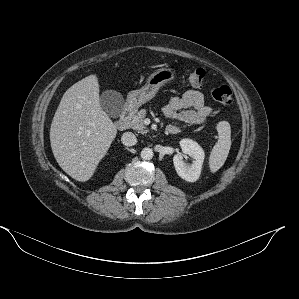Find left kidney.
I'll list each match as a JSON object with an SVG mask.
<instances>
[{
	"mask_svg": "<svg viewBox=\"0 0 299 299\" xmlns=\"http://www.w3.org/2000/svg\"><path fill=\"white\" fill-rule=\"evenodd\" d=\"M182 153H178L173 157V163L177 174L188 182H195L200 174L205 158L202 147L191 139H182L180 141ZM185 155L194 159L192 164H186L183 160Z\"/></svg>",
	"mask_w": 299,
	"mask_h": 299,
	"instance_id": "1",
	"label": "left kidney"
}]
</instances>
